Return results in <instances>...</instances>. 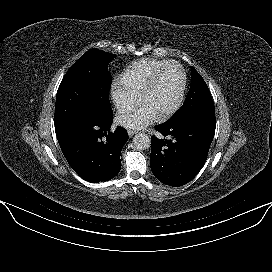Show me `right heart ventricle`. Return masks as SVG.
<instances>
[{"label":"right heart ventricle","mask_w":272,"mask_h":272,"mask_svg":"<svg viewBox=\"0 0 272 272\" xmlns=\"http://www.w3.org/2000/svg\"><path fill=\"white\" fill-rule=\"evenodd\" d=\"M166 63L168 61L152 58L140 59L126 68L120 81L128 89L140 94L156 72Z\"/></svg>","instance_id":"right-heart-ventricle-1"}]
</instances>
